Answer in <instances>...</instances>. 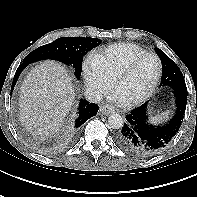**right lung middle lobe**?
<instances>
[{"label":"right lung middle lobe","instance_id":"right-lung-middle-lobe-1","mask_svg":"<svg viewBox=\"0 0 197 197\" xmlns=\"http://www.w3.org/2000/svg\"><path fill=\"white\" fill-rule=\"evenodd\" d=\"M99 44H101V40L97 38L62 37L32 51L23 62L29 64L44 59L57 60L73 66L75 75L79 79L83 56Z\"/></svg>","mask_w":197,"mask_h":197}]
</instances>
